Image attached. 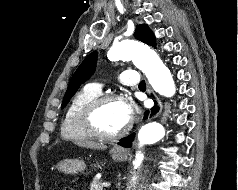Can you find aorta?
<instances>
[{
	"mask_svg": "<svg viewBox=\"0 0 238 190\" xmlns=\"http://www.w3.org/2000/svg\"><path fill=\"white\" fill-rule=\"evenodd\" d=\"M108 58L112 61L132 60L146 75L155 92L165 97H172L175 94V83L169 69L163 64L157 53L144 43L136 40L116 42L110 48ZM164 136L165 129L161 123L156 121L149 122L139 130V146L157 143ZM136 158L135 166L137 167L140 165L143 155L138 153Z\"/></svg>",
	"mask_w": 238,
	"mask_h": 190,
	"instance_id": "1",
	"label": "aorta"
}]
</instances>
